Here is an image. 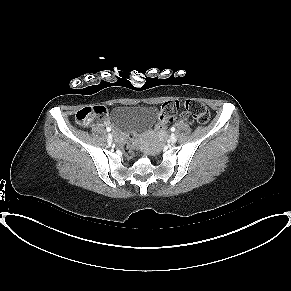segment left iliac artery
<instances>
[{
    "label": "left iliac artery",
    "mask_w": 291,
    "mask_h": 291,
    "mask_svg": "<svg viewBox=\"0 0 291 291\" xmlns=\"http://www.w3.org/2000/svg\"><path fill=\"white\" fill-rule=\"evenodd\" d=\"M171 131H173V132H174V131H175V127H171Z\"/></svg>",
    "instance_id": "1"
}]
</instances>
